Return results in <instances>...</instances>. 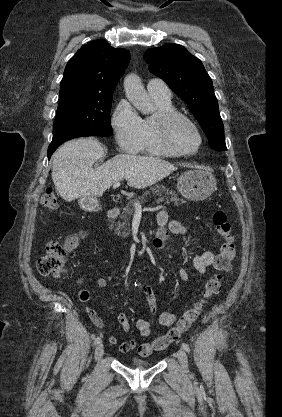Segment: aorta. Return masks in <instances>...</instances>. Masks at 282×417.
Wrapping results in <instances>:
<instances>
[{
    "label": "aorta",
    "mask_w": 282,
    "mask_h": 417,
    "mask_svg": "<svg viewBox=\"0 0 282 417\" xmlns=\"http://www.w3.org/2000/svg\"><path fill=\"white\" fill-rule=\"evenodd\" d=\"M123 84L125 94L131 104L142 114H149L151 112L150 96H148L140 76L131 72V74L125 76Z\"/></svg>",
    "instance_id": "762f6f07"
}]
</instances>
